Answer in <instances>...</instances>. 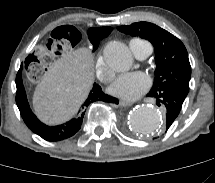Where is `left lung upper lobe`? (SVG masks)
Listing matches in <instances>:
<instances>
[{
  "mask_svg": "<svg viewBox=\"0 0 215 183\" xmlns=\"http://www.w3.org/2000/svg\"><path fill=\"white\" fill-rule=\"evenodd\" d=\"M119 31L149 40L155 49L156 70L151 91L174 87L189 92L191 66L183 43L171 33L148 22L123 25Z\"/></svg>",
  "mask_w": 215,
  "mask_h": 183,
  "instance_id": "left-lung-upper-lobe-1",
  "label": "left lung upper lobe"
}]
</instances>
